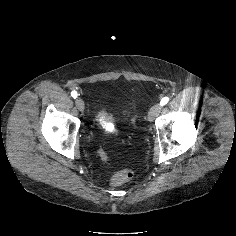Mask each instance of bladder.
Masks as SVG:
<instances>
[{"label":"bladder","mask_w":236,"mask_h":236,"mask_svg":"<svg viewBox=\"0 0 236 236\" xmlns=\"http://www.w3.org/2000/svg\"><path fill=\"white\" fill-rule=\"evenodd\" d=\"M99 123L102 127L106 128L107 127V121L105 119V117L101 116L100 119H99Z\"/></svg>","instance_id":"obj_1"}]
</instances>
